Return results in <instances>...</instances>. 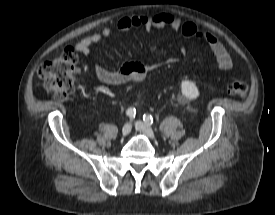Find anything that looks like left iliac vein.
<instances>
[{"label":"left iliac vein","mask_w":275,"mask_h":215,"mask_svg":"<svg viewBox=\"0 0 275 215\" xmlns=\"http://www.w3.org/2000/svg\"><path fill=\"white\" fill-rule=\"evenodd\" d=\"M135 128L139 131L144 133L147 137L154 139L155 138V134L153 132V130L150 128L149 125H147L146 123L142 122V121H136L135 122Z\"/></svg>","instance_id":"4c4485c4"}]
</instances>
